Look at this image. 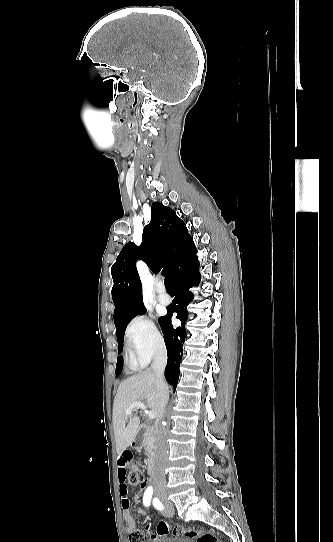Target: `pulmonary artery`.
<instances>
[{"mask_svg": "<svg viewBox=\"0 0 333 542\" xmlns=\"http://www.w3.org/2000/svg\"><path fill=\"white\" fill-rule=\"evenodd\" d=\"M159 292L160 293H163L161 296H162V299H160V302L161 304L163 305H169L170 304V301H169V295L168 293L166 292V287L165 286H160L159 287Z\"/></svg>", "mask_w": 333, "mask_h": 542, "instance_id": "e3ab8cb5", "label": "pulmonary artery"}]
</instances>
